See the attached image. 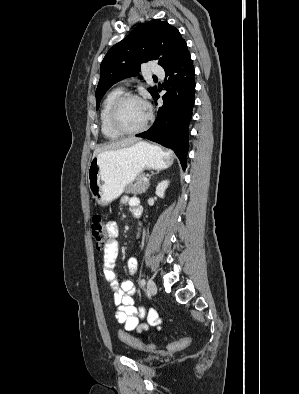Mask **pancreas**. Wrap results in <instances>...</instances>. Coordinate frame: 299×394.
<instances>
[{
	"label": "pancreas",
	"mask_w": 299,
	"mask_h": 394,
	"mask_svg": "<svg viewBox=\"0 0 299 394\" xmlns=\"http://www.w3.org/2000/svg\"><path fill=\"white\" fill-rule=\"evenodd\" d=\"M145 178L144 174H140L136 179L135 182L132 184H129L126 186L125 188V192L127 194L131 193V194H142L146 191L147 189V183H145L143 181V179Z\"/></svg>",
	"instance_id": "obj_1"
}]
</instances>
